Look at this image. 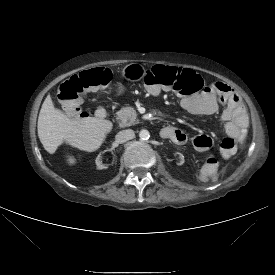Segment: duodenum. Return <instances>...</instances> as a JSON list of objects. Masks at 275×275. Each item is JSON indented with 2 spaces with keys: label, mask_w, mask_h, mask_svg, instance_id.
Returning <instances> with one entry per match:
<instances>
[{
  "label": "duodenum",
  "mask_w": 275,
  "mask_h": 275,
  "mask_svg": "<svg viewBox=\"0 0 275 275\" xmlns=\"http://www.w3.org/2000/svg\"><path fill=\"white\" fill-rule=\"evenodd\" d=\"M96 116L99 119H103L106 116V109L103 106H99L96 110Z\"/></svg>",
  "instance_id": "1"
}]
</instances>
